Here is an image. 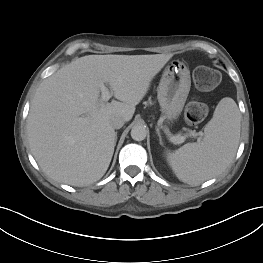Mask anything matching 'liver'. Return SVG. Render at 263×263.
<instances>
[{
  "mask_svg": "<svg viewBox=\"0 0 263 263\" xmlns=\"http://www.w3.org/2000/svg\"><path fill=\"white\" fill-rule=\"evenodd\" d=\"M172 56L88 55L45 79L31 102L27 122L31 152L42 171L72 186L100 180L116 144L111 119H132L152 79ZM104 83L118 101H102Z\"/></svg>",
  "mask_w": 263,
  "mask_h": 263,
  "instance_id": "1",
  "label": "liver"
}]
</instances>
